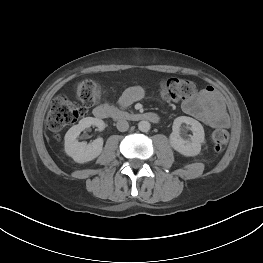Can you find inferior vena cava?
Masks as SVG:
<instances>
[{
  "label": "inferior vena cava",
  "instance_id": "602c4592",
  "mask_svg": "<svg viewBox=\"0 0 263 263\" xmlns=\"http://www.w3.org/2000/svg\"><path fill=\"white\" fill-rule=\"evenodd\" d=\"M117 129L119 130V131H121V132H125V131H127L128 130V128H129V124H128V122L126 121V120H119L118 122H117Z\"/></svg>",
  "mask_w": 263,
  "mask_h": 263
}]
</instances>
